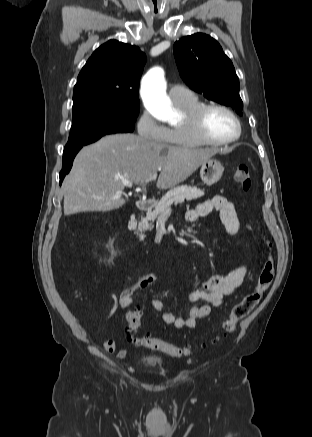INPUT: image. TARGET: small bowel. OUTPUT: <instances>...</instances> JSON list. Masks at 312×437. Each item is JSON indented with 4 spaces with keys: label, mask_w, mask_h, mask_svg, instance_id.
<instances>
[{
    "label": "small bowel",
    "mask_w": 312,
    "mask_h": 437,
    "mask_svg": "<svg viewBox=\"0 0 312 437\" xmlns=\"http://www.w3.org/2000/svg\"><path fill=\"white\" fill-rule=\"evenodd\" d=\"M213 210L219 212L220 219L228 234L234 235L240 228V221L235 205L221 195H215L199 203L194 209L186 212L185 218L188 222H195L201 217L211 213ZM246 275V267L242 264L234 267L226 275H215L206 279L199 290L192 292L189 298L192 301H202L203 304L192 306L187 317H176L174 314L165 311L164 303L160 299L152 300L153 309L160 313L162 321L167 325L176 328H194L199 319L207 317L211 310L219 307L223 299L233 293L243 282ZM159 281L156 274L142 276L134 285L124 289L119 296V307L125 310L134 303V295L142 292ZM102 348L109 354H115L122 358L126 355L125 350H118L114 340H107Z\"/></svg>",
    "instance_id": "small-bowel-1"
}]
</instances>
